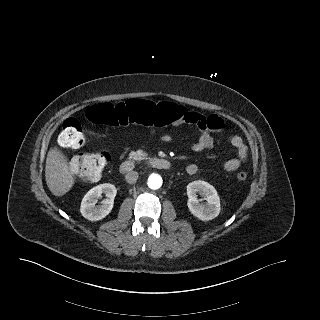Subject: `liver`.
<instances>
[{
    "instance_id": "1",
    "label": "liver",
    "mask_w": 320,
    "mask_h": 320,
    "mask_svg": "<svg viewBox=\"0 0 320 320\" xmlns=\"http://www.w3.org/2000/svg\"><path fill=\"white\" fill-rule=\"evenodd\" d=\"M45 179L49 190L55 196H63L75 183L66 156L56 148L47 153Z\"/></svg>"
}]
</instances>
